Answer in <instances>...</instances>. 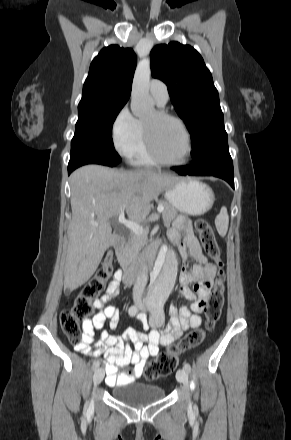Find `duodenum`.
<instances>
[{"label":"duodenum","instance_id":"duodenum-1","mask_svg":"<svg viewBox=\"0 0 291 440\" xmlns=\"http://www.w3.org/2000/svg\"><path fill=\"white\" fill-rule=\"evenodd\" d=\"M121 238L122 237L120 234L115 235V243L113 245L114 249H117L119 247ZM145 254L146 256L142 263L137 265L127 264L124 267L123 279L126 284H131L139 278L143 277L154 265L156 260L155 250L150 249Z\"/></svg>","mask_w":291,"mask_h":440}]
</instances>
